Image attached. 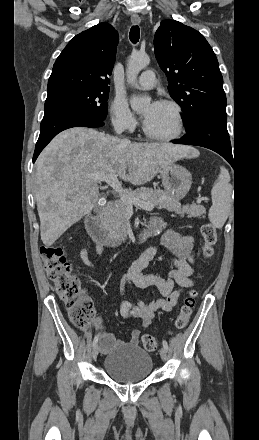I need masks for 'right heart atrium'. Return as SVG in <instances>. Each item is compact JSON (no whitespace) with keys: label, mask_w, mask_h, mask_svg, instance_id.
Here are the masks:
<instances>
[{"label":"right heart atrium","mask_w":259,"mask_h":440,"mask_svg":"<svg viewBox=\"0 0 259 440\" xmlns=\"http://www.w3.org/2000/svg\"><path fill=\"white\" fill-rule=\"evenodd\" d=\"M112 126L119 131L131 132L137 127V119L125 99L116 97L109 106Z\"/></svg>","instance_id":"right-heart-atrium-1"}]
</instances>
